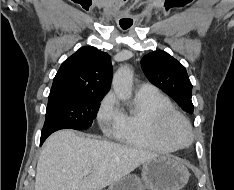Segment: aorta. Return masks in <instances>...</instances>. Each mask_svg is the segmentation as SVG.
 <instances>
[{"instance_id":"aorta-1","label":"aorta","mask_w":234,"mask_h":190,"mask_svg":"<svg viewBox=\"0 0 234 190\" xmlns=\"http://www.w3.org/2000/svg\"><path fill=\"white\" fill-rule=\"evenodd\" d=\"M133 75L129 67H120L113 76V89L117 96L122 99H128L132 92Z\"/></svg>"}]
</instances>
